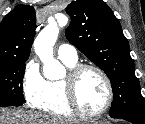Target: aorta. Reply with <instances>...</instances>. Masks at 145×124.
Masks as SVG:
<instances>
[{"label": "aorta", "instance_id": "obj_1", "mask_svg": "<svg viewBox=\"0 0 145 124\" xmlns=\"http://www.w3.org/2000/svg\"><path fill=\"white\" fill-rule=\"evenodd\" d=\"M59 35V27L54 18L48 19V25L38 34L34 49L43 63V74L48 80H58L65 76V68L54 58L53 46Z\"/></svg>", "mask_w": 145, "mask_h": 124}]
</instances>
